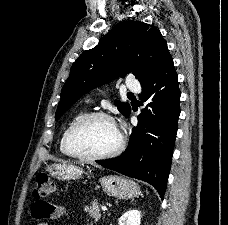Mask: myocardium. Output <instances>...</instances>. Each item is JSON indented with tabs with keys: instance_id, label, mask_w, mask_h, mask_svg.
<instances>
[{
	"instance_id": "obj_1",
	"label": "myocardium",
	"mask_w": 228,
	"mask_h": 225,
	"mask_svg": "<svg viewBox=\"0 0 228 225\" xmlns=\"http://www.w3.org/2000/svg\"><path fill=\"white\" fill-rule=\"evenodd\" d=\"M93 119H104L107 120L109 122H111L117 129L118 131V135H119V142L118 145L113 148L112 150L103 153V154H86V153H82L80 151H78L75 147H74V137L77 133V131L86 123H88L89 121L93 120ZM66 147L68 152L70 153L71 156L76 157V158H80V159H86V160H102V159H107V158H111L114 157L116 155H118L125 147V139L121 133V131L118 129L114 119L103 112H90V113H86L83 116H81L80 118H78L73 125L70 127L67 136H66Z\"/></svg>"
}]
</instances>
